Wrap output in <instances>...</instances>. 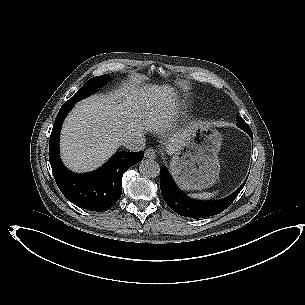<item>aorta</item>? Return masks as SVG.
<instances>
[{"mask_svg":"<svg viewBox=\"0 0 305 305\" xmlns=\"http://www.w3.org/2000/svg\"><path fill=\"white\" fill-rule=\"evenodd\" d=\"M139 171L144 177L156 178L160 175V166L154 160L145 159L139 163Z\"/></svg>","mask_w":305,"mask_h":305,"instance_id":"1","label":"aorta"}]
</instances>
